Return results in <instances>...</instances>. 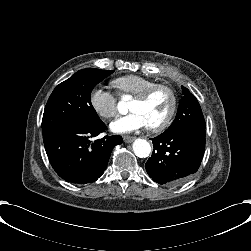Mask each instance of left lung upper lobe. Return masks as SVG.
Returning <instances> with one entry per match:
<instances>
[{"mask_svg": "<svg viewBox=\"0 0 251 251\" xmlns=\"http://www.w3.org/2000/svg\"><path fill=\"white\" fill-rule=\"evenodd\" d=\"M181 88L183 96L179 102L176 118L163 134L189 126L206 128L203 113L197 99L187 88L183 86Z\"/></svg>", "mask_w": 251, "mask_h": 251, "instance_id": "1", "label": "left lung upper lobe"}]
</instances>
